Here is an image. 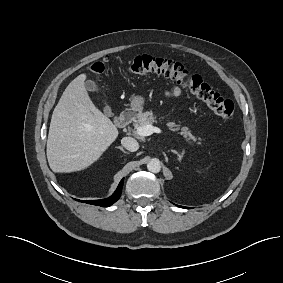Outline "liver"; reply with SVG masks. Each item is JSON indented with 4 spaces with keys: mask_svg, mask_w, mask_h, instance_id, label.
I'll list each match as a JSON object with an SVG mask.
<instances>
[{
    "mask_svg": "<svg viewBox=\"0 0 283 283\" xmlns=\"http://www.w3.org/2000/svg\"><path fill=\"white\" fill-rule=\"evenodd\" d=\"M86 74L69 83L55 107L47 140L50 168L58 173L83 170L97 161L119 131L92 102Z\"/></svg>",
    "mask_w": 283,
    "mask_h": 283,
    "instance_id": "obj_1",
    "label": "liver"
}]
</instances>
